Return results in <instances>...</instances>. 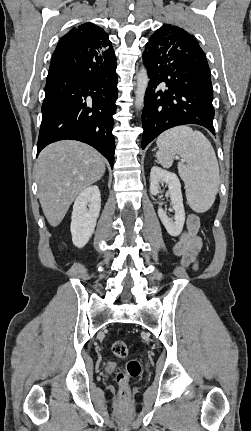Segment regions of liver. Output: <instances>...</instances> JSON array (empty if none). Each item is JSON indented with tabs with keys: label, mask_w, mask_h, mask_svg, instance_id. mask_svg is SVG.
<instances>
[{
	"label": "liver",
	"mask_w": 251,
	"mask_h": 431,
	"mask_svg": "<svg viewBox=\"0 0 251 431\" xmlns=\"http://www.w3.org/2000/svg\"><path fill=\"white\" fill-rule=\"evenodd\" d=\"M104 173L105 159L87 144L66 140L44 148L36 163V179L49 224L58 226L78 195Z\"/></svg>",
	"instance_id": "1"
}]
</instances>
